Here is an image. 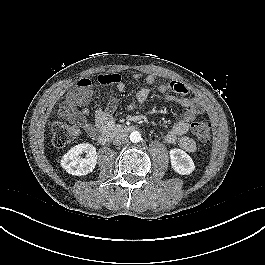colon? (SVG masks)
<instances>
[{"label":"colon","mask_w":265,"mask_h":265,"mask_svg":"<svg viewBox=\"0 0 265 265\" xmlns=\"http://www.w3.org/2000/svg\"><path fill=\"white\" fill-rule=\"evenodd\" d=\"M212 123L207 118H200L191 125V131L193 135L203 144H207L210 141ZM53 144L56 147H64L67 144L76 140L79 135V129L65 122L62 119H58L53 124Z\"/></svg>","instance_id":"5ec220e1"}]
</instances>
